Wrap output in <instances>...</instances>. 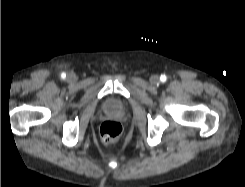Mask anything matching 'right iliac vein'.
<instances>
[{
    "instance_id": "63e3f726",
    "label": "right iliac vein",
    "mask_w": 245,
    "mask_h": 187,
    "mask_svg": "<svg viewBox=\"0 0 245 187\" xmlns=\"http://www.w3.org/2000/svg\"><path fill=\"white\" fill-rule=\"evenodd\" d=\"M75 79V76L73 74H70L68 76V80L73 81Z\"/></svg>"
}]
</instances>
